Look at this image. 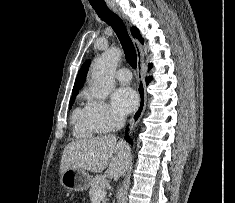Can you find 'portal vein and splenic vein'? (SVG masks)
I'll return each instance as SVG.
<instances>
[{"label": "portal vein and splenic vein", "instance_id": "portal-vein-and-splenic-vein-1", "mask_svg": "<svg viewBox=\"0 0 235 203\" xmlns=\"http://www.w3.org/2000/svg\"><path fill=\"white\" fill-rule=\"evenodd\" d=\"M106 191L105 189H101L95 192L94 196H93V200H102L105 196H106Z\"/></svg>", "mask_w": 235, "mask_h": 203}]
</instances>
